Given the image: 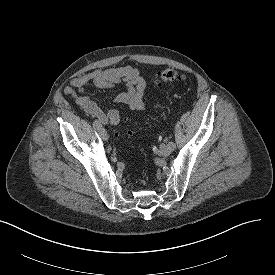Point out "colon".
I'll use <instances>...</instances> for the list:
<instances>
[{
    "mask_svg": "<svg viewBox=\"0 0 275 275\" xmlns=\"http://www.w3.org/2000/svg\"><path fill=\"white\" fill-rule=\"evenodd\" d=\"M185 77L178 71L173 69H164L155 75L154 82L158 85L168 84L173 85L178 82H184Z\"/></svg>",
    "mask_w": 275,
    "mask_h": 275,
    "instance_id": "1",
    "label": "colon"
}]
</instances>
